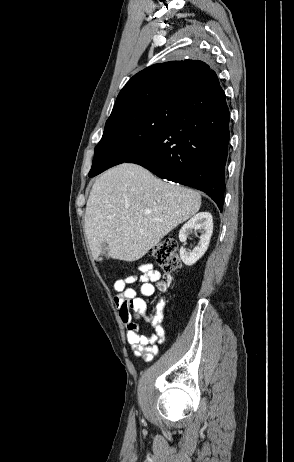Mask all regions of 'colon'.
Instances as JSON below:
<instances>
[{
	"label": "colon",
	"mask_w": 294,
	"mask_h": 462,
	"mask_svg": "<svg viewBox=\"0 0 294 462\" xmlns=\"http://www.w3.org/2000/svg\"><path fill=\"white\" fill-rule=\"evenodd\" d=\"M150 256L165 273L164 278L158 284L161 289H165L171 283V274L180 266L176 241L171 238L162 240L150 249Z\"/></svg>",
	"instance_id": "5ec220e1"
}]
</instances>
